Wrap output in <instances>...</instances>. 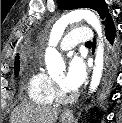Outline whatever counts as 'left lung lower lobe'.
Masks as SVG:
<instances>
[{
  "label": "left lung lower lobe",
  "mask_w": 122,
  "mask_h": 123,
  "mask_svg": "<svg viewBox=\"0 0 122 123\" xmlns=\"http://www.w3.org/2000/svg\"><path fill=\"white\" fill-rule=\"evenodd\" d=\"M106 38L110 44V64L107 76V85L110 87L114 84L116 71L119 63V55L121 51L120 39L116 34L115 25L110 14L104 19Z\"/></svg>",
  "instance_id": "1"
}]
</instances>
